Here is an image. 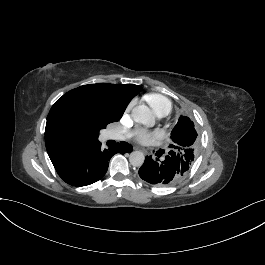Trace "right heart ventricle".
Masks as SVG:
<instances>
[{
  "label": "right heart ventricle",
  "mask_w": 265,
  "mask_h": 265,
  "mask_svg": "<svg viewBox=\"0 0 265 265\" xmlns=\"http://www.w3.org/2000/svg\"><path fill=\"white\" fill-rule=\"evenodd\" d=\"M146 105L150 109H154V113L158 117H165L171 110L170 103L163 95L150 94L146 98Z\"/></svg>",
  "instance_id": "right-heart-ventricle-1"
}]
</instances>
